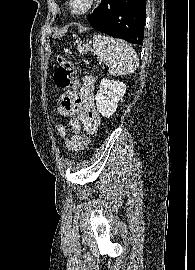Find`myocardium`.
I'll list each match as a JSON object with an SVG mask.
<instances>
[{"instance_id": "1", "label": "myocardium", "mask_w": 195, "mask_h": 270, "mask_svg": "<svg viewBox=\"0 0 195 270\" xmlns=\"http://www.w3.org/2000/svg\"><path fill=\"white\" fill-rule=\"evenodd\" d=\"M73 2H74V0H68L67 4H68L69 11L73 15H76V16H83V15L88 14L90 11H92L94 9V7L97 4V0H88V3H87V5L85 6L84 9L75 10L74 7H73Z\"/></svg>"}]
</instances>
